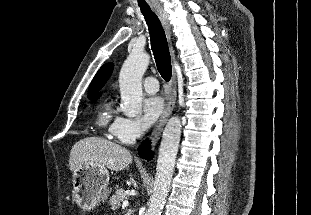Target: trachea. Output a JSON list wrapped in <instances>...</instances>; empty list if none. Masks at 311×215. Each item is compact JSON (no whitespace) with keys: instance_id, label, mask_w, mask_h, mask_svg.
Instances as JSON below:
<instances>
[{"instance_id":"3493384b","label":"trachea","mask_w":311,"mask_h":215,"mask_svg":"<svg viewBox=\"0 0 311 215\" xmlns=\"http://www.w3.org/2000/svg\"><path fill=\"white\" fill-rule=\"evenodd\" d=\"M148 25L151 48L161 77L169 81L172 75L171 56L164 29L156 14L148 6H140Z\"/></svg>"}]
</instances>
